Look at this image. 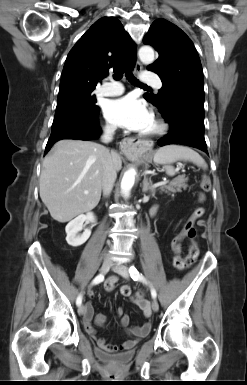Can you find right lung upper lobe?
Returning a JSON list of instances; mask_svg holds the SVG:
<instances>
[{
    "instance_id": "right-lung-upper-lobe-1",
    "label": "right lung upper lobe",
    "mask_w": 247,
    "mask_h": 385,
    "mask_svg": "<svg viewBox=\"0 0 247 385\" xmlns=\"http://www.w3.org/2000/svg\"><path fill=\"white\" fill-rule=\"evenodd\" d=\"M136 45L114 17L96 21L69 52L63 68L60 90H94L109 69H132Z\"/></svg>"
}]
</instances>
